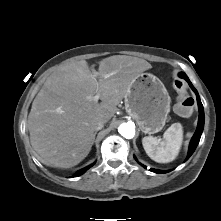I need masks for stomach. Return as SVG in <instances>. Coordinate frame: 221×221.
Listing matches in <instances>:
<instances>
[{
  "instance_id": "obj_1",
  "label": "stomach",
  "mask_w": 221,
  "mask_h": 221,
  "mask_svg": "<svg viewBox=\"0 0 221 221\" xmlns=\"http://www.w3.org/2000/svg\"><path fill=\"white\" fill-rule=\"evenodd\" d=\"M127 113L145 134H155L164 127L170 112V96L159 78L141 73L124 97Z\"/></svg>"
}]
</instances>
